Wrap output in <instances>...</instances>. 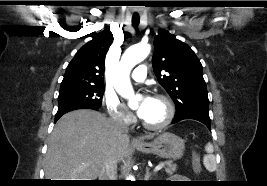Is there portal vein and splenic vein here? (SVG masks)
<instances>
[{"label":"portal vein and splenic vein","instance_id":"portal-vein-and-splenic-vein-1","mask_svg":"<svg viewBox=\"0 0 267 186\" xmlns=\"http://www.w3.org/2000/svg\"><path fill=\"white\" fill-rule=\"evenodd\" d=\"M163 168V164H159L155 167L154 171L157 172Z\"/></svg>","mask_w":267,"mask_h":186}]
</instances>
